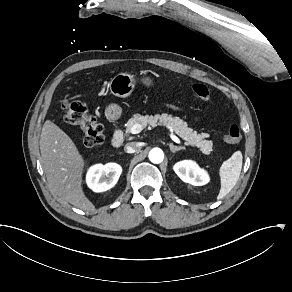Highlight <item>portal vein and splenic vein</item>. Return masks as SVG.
<instances>
[{
	"instance_id": "portal-vein-and-splenic-vein-1",
	"label": "portal vein and splenic vein",
	"mask_w": 292,
	"mask_h": 292,
	"mask_svg": "<svg viewBox=\"0 0 292 292\" xmlns=\"http://www.w3.org/2000/svg\"><path fill=\"white\" fill-rule=\"evenodd\" d=\"M141 130H142L141 126H139V125H134V126L130 129L129 132H130V134H138V133L141 132ZM172 139H173V141L176 142L177 144H181V140H180L178 137L172 135Z\"/></svg>"
}]
</instances>
